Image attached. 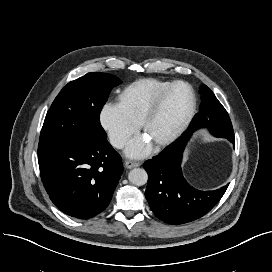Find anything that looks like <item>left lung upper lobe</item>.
<instances>
[{"label": "left lung upper lobe", "mask_w": 272, "mask_h": 272, "mask_svg": "<svg viewBox=\"0 0 272 272\" xmlns=\"http://www.w3.org/2000/svg\"><path fill=\"white\" fill-rule=\"evenodd\" d=\"M201 106L200 112L192 123L199 127H207L212 134L233 133L232 124L228 113L217 100L213 92L206 86H200Z\"/></svg>", "instance_id": "1"}]
</instances>
